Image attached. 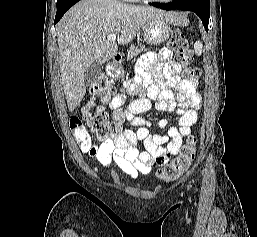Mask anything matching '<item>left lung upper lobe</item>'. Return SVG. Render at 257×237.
Segmentation results:
<instances>
[{
  "label": "left lung upper lobe",
  "instance_id": "left-lung-upper-lobe-1",
  "mask_svg": "<svg viewBox=\"0 0 257 237\" xmlns=\"http://www.w3.org/2000/svg\"><path fill=\"white\" fill-rule=\"evenodd\" d=\"M181 2H186V1H189V0H179ZM205 1H209V0H205Z\"/></svg>",
  "mask_w": 257,
  "mask_h": 237
}]
</instances>
